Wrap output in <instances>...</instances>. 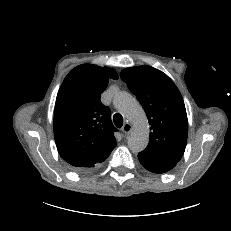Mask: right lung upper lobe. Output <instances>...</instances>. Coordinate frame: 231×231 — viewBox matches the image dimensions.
<instances>
[{
  "label": "right lung upper lobe",
  "instance_id": "right-lung-upper-lobe-1",
  "mask_svg": "<svg viewBox=\"0 0 231 231\" xmlns=\"http://www.w3.org/2000/svg\"><path fill=\"white\" fill-rule=\"evenodd\" d=\"M117 73L108 67L83 64L65 77L56 98L54 137L60 156L70 165H92L114 149L116 129L108 107L100 102L109 79Z\"/></svg>",
  "mask_w": 231,
  "mask_h": 231
}]
</instances>
